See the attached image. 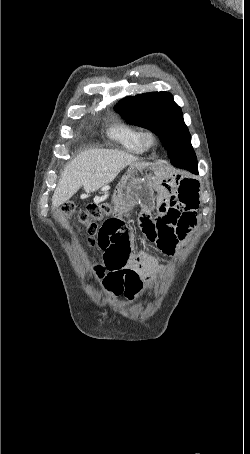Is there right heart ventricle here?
<instances>
[{"mask_svg": "<svg viewBox=\"0 0 250 454\" xmlns=\"http://www.w3.org/2000/svg\"><path fill=\"white\" fill-rule=\"evenodd\" d=\"M141 130L131 124L119 122L113 124L108 130V136L116 141L123 149L141 154L145 151L141 140Z\"/></svg>", "mask_w": 250, "mask_h": 454, "instance_id": "e07e8e85", "label": "right heart ventricle"}]
</instances>
